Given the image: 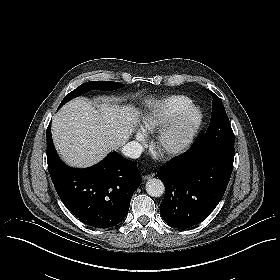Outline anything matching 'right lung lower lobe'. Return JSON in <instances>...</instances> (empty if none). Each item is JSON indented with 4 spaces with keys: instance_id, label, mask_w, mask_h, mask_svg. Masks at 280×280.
Returning <instances> with one entry per match:
<instances>
[{
    "instance_id": "98d812e1",
    "label": "right lung lower lobe",
    "mask_w": 280,
    "mask_h": 280,
    "mask_svg": "<svg viewBox=\"0 0 280 280\" xmlns=\"http://www.w3.org/2000/svg\"><path fill=\"white\" fill-rule=\"evenodd\" d=\"M50 124L46 133L48 170L63 204L89 226L105 229L119 224L141 183L136 163L113 152L90 168H70L57 155Z\"/></svg>"
}]
</instances>
